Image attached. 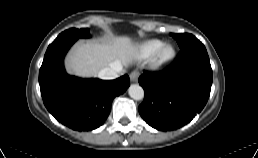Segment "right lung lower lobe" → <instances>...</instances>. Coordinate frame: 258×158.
<instances>
[{"label": "right lung lower lobe", "mask_w": 258, "mask_h": 158, "mask_svg": "<svg viewBox=\"0 0 258 158\" xmlns=\"http://www.w3.org/2000/svg\"><path fill=\"white\" fill-rule=\"evenodd\" d=\"M77 39H55L49 45L39 71L42 99L62 124L77 131L98 128L107 119L114 97L129 87V76L116 80L80 79L69 76L63 60Z\"/></svg>", "instance_id": "1"}]
</instances>
